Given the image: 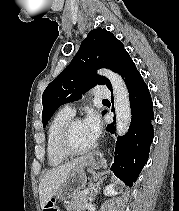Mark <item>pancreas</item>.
Instances as JSON below:
<instances>
[{
  "mask_svg": "<svg viewBox=\"0 0 179 211\" xmlns=\"http://www.w3.org/2000/svg\"><path fill=\"white\" fill-rule=\"evenodd\" d=\"M91 200V194H84L79 191L72 196V199L66 205L67 211H85V205Z\"/></svg>",
  "mask_w": 179,
  "mask_h": 211,
  "instance_id": "pancreas-1",
  "label": "pancreas"
}]
</instances>
